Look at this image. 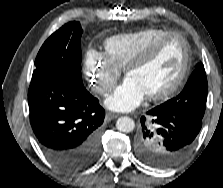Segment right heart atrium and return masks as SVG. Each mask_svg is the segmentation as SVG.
I'll return each instance as SVG.
<instances>
[{
	"instance_id": "right-heart-atrium-1",
	"label": "right heart atrium",
	"mask_w": 223,
	"mask_h": 188,
	"mask_svg": "<svg viewBox=\"0 0 223 188\" xmlns=\"http://www.w3.org/2000/svg\"><path fill=\"white\" fill-rule=\"evenodd\" d=\"M83 70L92 90L98 95L110 92L121 74L120 68L105 53L96 50L86 53Z\"/></svg>"
}]
</instances>
